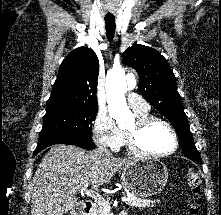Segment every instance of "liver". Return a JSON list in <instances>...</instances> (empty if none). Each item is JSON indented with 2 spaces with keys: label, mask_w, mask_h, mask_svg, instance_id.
<instances>
[{
  "label": "liver",
  "mask_w": 221,
  "mask_h": 215,
  "mask_svg": "<svg viewBox=\"0 0 221 215\" xmlns=\"http://www.w3.org/2000/svg\"><path fill=\"white\" fill-rule=\"evenodd\" d=\"M134 158H116L79 147L58 144L43 157L31 181V215H64L77 206L82 187L97 190Z\"/></svg>",
  "instance_id": "6515ba94"
}]
</instances>
